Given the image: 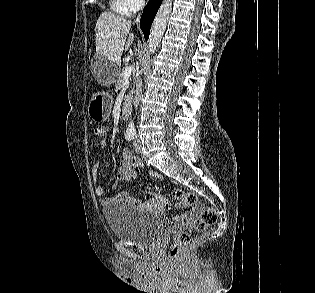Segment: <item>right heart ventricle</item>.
<instances>
[{
  "instance_id": "right-heart-ventricle-1",
  "label": "right heart ventricle",
  "mask_w": 315,
  "mask_h": 293,
  "mask_svg": "<svg viewBox=\"0 0 315 293\" xmlns=\"http://www.w3.org/2000/svg\"><path fill=\"white\" fill-rule=\"evenodd\" d=\"M110 5L112 10L120 15L128 16L130 14L123 0H110Z\"/></svg>"
}]
</instances>
